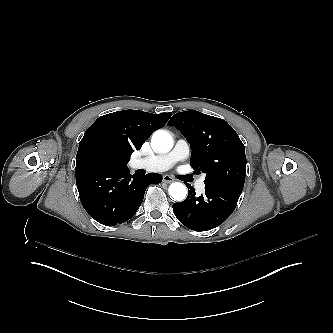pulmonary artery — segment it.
<instances>
[{"label":"pulmonary artery","mask_w":333,"mask_h":333,"mask_svg":"<svg viewBox=\"0 0 333 333\" xmlns=\"http://www.w3.org/2000/svg\"><path fill=\"white\" fill-rule=\"evenodd\" d=\"M190 156V148L185 139H178L172 150L166 151L165 155H157L155 157H149L144 161V169L160 170L161 172H166L170 167L174 166L180 161H184ZM205 179V175L199 178V181L195 182L196 188L202 187V182ZM168 192L169 189L165 188Z\"/></svg>","instance_id":"e3ab8cb5"}]
</instances>
